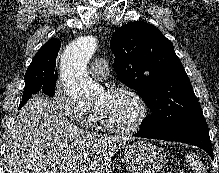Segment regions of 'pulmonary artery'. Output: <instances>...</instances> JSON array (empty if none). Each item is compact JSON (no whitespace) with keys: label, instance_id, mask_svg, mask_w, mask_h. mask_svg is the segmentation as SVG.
Segmentation results:
<instances>
[{"label":"pulmonary artery","instance_id":"pulmonary-artery-1","mask_svg":"<svg viewBox=\"0 0 219 173\" xmlns=\"http://www.w3.org/2000/svg\"><path fill=\"white\" fill-rule=\"evenodd\" d=\"M89 73L94 79H105L109 73L108 61L105 58H95L90 65Z\"/></svg>","mask_w":219,"mask_h":173}]
</instances>
